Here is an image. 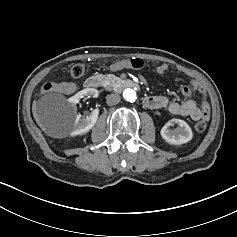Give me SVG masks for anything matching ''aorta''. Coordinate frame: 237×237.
<instances>
[{"label":"aorta","mask_w":237,"mask_h":237,"mask_svg":"<svg viewBox=\"0 0 237 237\" xmlns=\"http://www.w3.org/2000/svg\"><path fill=\"white\" fill-rule=\"evenodd\" d=\"M123 97L129 102H134L136 99V92L131 88H127L123 91Z\"/></svg>","instance_id":"aorta-1"}]
</instances>
